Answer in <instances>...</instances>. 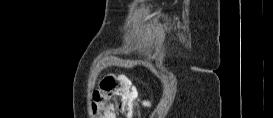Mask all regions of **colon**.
I'll return each instance as SVG.
<instances>
[{
    "label": "colon",
    "instance_id": "obj_1",
    "mask_svg": "<svg viewBox=\"0 0 273 118\" xmlns=\"http://www.w3.org/2000/svg\"><path fill=\"white\" fill-rule=\"evenodd\" d=\"M93 100V112L98 118H115L116 110L132 117L137 112L139 102L130 81L112 75L101 80L99 90L93 94Z\"/></svg>",
    "mask_w": 273,
    "mask_h": 118
}]
</instances>
